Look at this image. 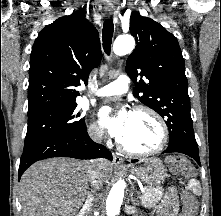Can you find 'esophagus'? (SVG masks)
Listing matches in <instances>:
<instances>
[{"instance_id":"34e87169","label":"esophagus","mask_w":221,"mask_h":216,"mask_svg":"<svg viewBox=\"0 0 221 216\" xmlns=\"http://www.w3.org/2000/svg\"><path fill=\"white\" fill-rule=\"evenodd\" d=\"M104 15L106 17H110L112 15V10L106 9L104 11ZM113 162H114L115 166H118V167H122L124 165V159L117 154H113Z\"/></svg>"}]
</instances>
